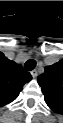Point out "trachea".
Segmentation results:
<instances>
[{
  "mask_svg": "<svg viewBox=\"0 0 63 123\" xmlns=\"http://www.w3.org/2000/svg\"><path fill=\"white\" fill-rule=\"evenodd\" d=\"M24 67L26 70L31 71L36 67V61L34 59H29L25 62Z\"/></svg>",
  "mask_w": 63,
  "mask_h": 123,
  "instance_id": "obj_1",
  "label": "trachea"
}]
</instances>
